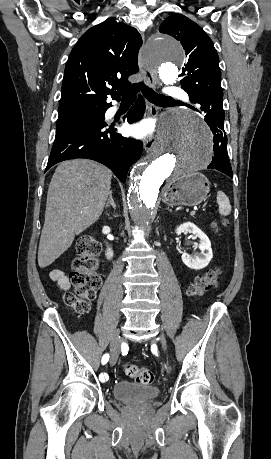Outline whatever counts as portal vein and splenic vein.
<instances>
[{"instance_id":"1","label":"portal vein and splenic vein","mask_w":271,"mask_h":459,"mask_svg":"<svg viewBox=\"0 0 271 459\" xmlns=\"http://www.w3.org/2000/svg\"><path fill=\"white\" fill-rule=\"evenodd\" d=\"M194 214H195V212H193V211H192V212H190V215H191V216H194Z\"/></svg>"}]
</instances>
